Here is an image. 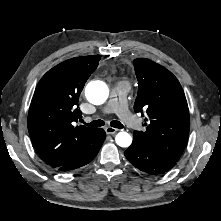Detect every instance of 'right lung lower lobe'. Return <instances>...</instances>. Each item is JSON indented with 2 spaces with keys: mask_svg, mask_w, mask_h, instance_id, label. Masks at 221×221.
<instances>
[{
  "mask_svg": "<svg viewBox=\"0 0 221 221\" xmlns=\"http://www.w3.org/2000/svg\"><path fill=\"white\" fill-rule=\"evenodd\" d=\"M105 138H106L105 131L102 128L98 129L95 142L90 147V150L88 152L78 156L77 158L67 162L66 164L58 167L57 170L62 171V172H67V171H72V170L78 169V168L88 164L98 154V151L101 148Z\"/></svg>",
  "mask_w": 221,
  "mask_h": 221,
  "instance_id": "98d812e1",
  "label": "right lung lower lobe"
}]
</instances>
